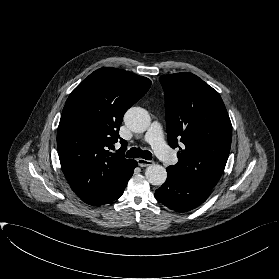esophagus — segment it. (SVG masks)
Here are the masks:
<instances>
[{"mask_svg":"<svg viewBox=\"0 0 279 279\" xmlns=\"http://www.w3.org/2000/svg\"><path fill=\"white\" fill-rule=\"evenodd\" d=\"M137 162H138V165L140 166V167H147V166H150V165H152L154 162L153 161H151V160H146V159H143V158H139L138 160H137Z\"/></svg>","mask_w":279,"mask_h":279,"instance_id":"esophagus-1","label":"esophagus"}]
</instances>
